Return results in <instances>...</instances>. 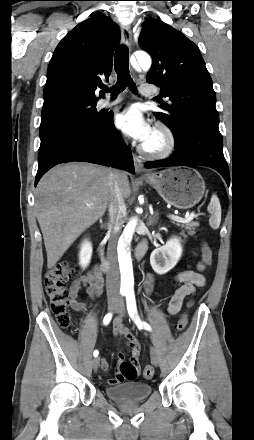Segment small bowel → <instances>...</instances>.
I'll list each match as a JSON object with an SVG mask.
<instances>
[{
	"label": "small bowel",
	"instance_id": "c3829d8e",
	"mask_svg": "<svg viewBox=\"0 0 254 440\" xmlns=\"http://www.w3.org/2000/svg\"><path fill=\"white\" fill-rule=\"evenodd\" d=\"M203 265L198 264L197 270H184L178 273L174 280L181 283V286L171 296L168 311L171 315H176L181 310L183 301L186 297L195 293L196 289L203 287L206 283V279L202 274ZM103 280L97 267L92 268L85 275L75 279L70 286V305L76 310L83 312L86 310V306L83 302L78 301L79 291L82 288H86L88 294L96 299L100 297L102 293ZM155 286L154 277L148 274L144 280V290L147 294H150ZM113 331L117 337L125 340L126 346L129 352V360L134 363L137 368L139 366V357L141 352V345L134 334L124 326L120 318H116L113 321ZM124 360V355L119 354V364ZM102 369L107 370L108 363L103 360L101 363ZM124 382V378L121 374L120 368H118L116 375L109 379L110 386H116Z\"/></svg>",
	"mask_w": 254,
	"mask_h": 440
}]
</instances>
